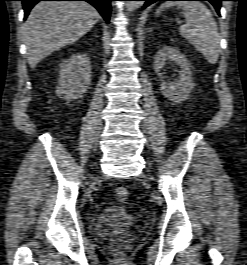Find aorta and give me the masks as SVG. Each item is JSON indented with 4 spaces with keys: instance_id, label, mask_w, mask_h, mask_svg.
<instances>
[{
    "instance_id": "aorta-1",
    "label": "aorta",
    "mask_w": 247,
    "mask_h": 265,
    "mask_svg": "<svg viewBox=\"0 0 247 265\" xmlns=\"http://www.w3.org/2000/svg\"><path fill=\"white\" fill-rule=\"evenodd\" d=\"M142 5L141 1H128L126 4V11L133 12Z\"/></svg>"
}]
</instances>
